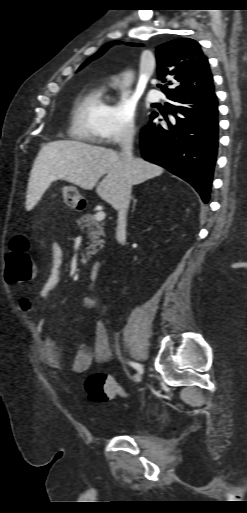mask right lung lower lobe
<instances>
[{
	"label": "right lung lower lobe",
	"mask_w": 247,
	"mask_h": 513,
	"mask_svg": "<svg viewBox=\"0 0 247 513\" xmlns=\"http://www.w3.org/2000/svg\"><path fill=\"white\" fill-rule=\"evenodd\" d=\"M173 115L167 125L150 115L140 134L144 159L158 164L189 182L204 203L210 197L218 151V101L214 90L199 96L168 97Z\"/></svg>",
	"instance_id": "1"
}]
</instances>
